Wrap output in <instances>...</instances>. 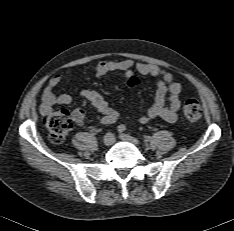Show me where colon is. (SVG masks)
Segmentation results:
<instances>
[{
	"mask_svg": "<svg viewBox=\"0 0 234 231\" xmlns=\"http://www.w3.org/2000/svg\"><path fill=\"white\" fill-rule=\"evenodd\" d=\"M130 87L138 84V79L131 76L127 81ZM184 116L190 121H197L202 116L200 103L195 99H188L183 106ZM44 124L50 132V137L54 142H61L67 133L74 127V120L66 110L48 112L44 117Z\"/></svg>",
	"mask_w": 234,
	"mask_h": 231,
	"instance_id": "colon-1",
	"label": "colon"
}]
</instances>
